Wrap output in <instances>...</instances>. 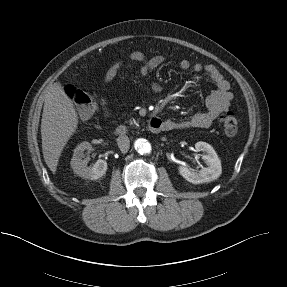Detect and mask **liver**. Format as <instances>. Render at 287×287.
Masks as SVG:
<instances>
[{"label":"liver","instance_id":"6515ba94","mask_svg":"<svg viewBox=\"0 0 287 287\" xmlns=\"http://www.w3.org/2000/svg\"><path fill=\"white\" fill-rule=\"evenodd\" d=\"M78 115L72 100L59 82L46 94L41 120L42 151L49 169L55 173L62 150L76 131Z\"/></svg>","mask_w":287,"mask_h":287}]
</instances>
